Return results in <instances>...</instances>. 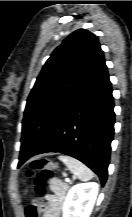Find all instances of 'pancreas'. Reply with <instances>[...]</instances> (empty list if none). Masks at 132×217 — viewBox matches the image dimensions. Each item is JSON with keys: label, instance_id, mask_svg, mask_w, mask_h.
I'll use <instances>...</instances> for the list:
<instances>
[{"label": "pancreas", "instance_id": "obj_1", "mask_svg": "<svg viewBox=\"0 0 132 217\" xmlns=\"http://www.w3.org/2000/svg\"><path fill=\"white\" fill-rule=\"evenodd\" d=\"M68 188H69V186L66 185L65 188H64L63 194H65V190H67Z\"/></svg>", "mask_w": 132, "mask_h": 217}]
</instances>
